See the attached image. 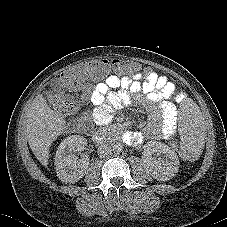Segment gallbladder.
Masks as SVG:
<instances>
[{
	"label": "gallbladder",
	"mask_w": 227,
	"mask_h": 227,
	"mask_svg": "<svg viewBox=\"0 0 227 227\" xmlns=\"http://www.w3.org/2000/svg\"><path fill=\"white\" fill-rule=\"evenodd\" d=\"M51 86H52L54 91L63 94L62 85L60 84V82L58 80H53L52 83H51Z\"/></svg>",
	"instance_id": "1"
}]
</instances>
